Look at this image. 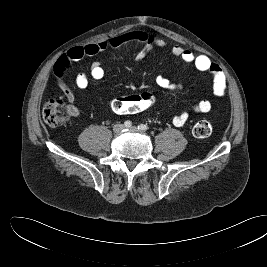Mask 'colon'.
Instances as JSON below:
<instances>
[{"mask_svg": "<svg viewBox=\"0 0 267 267\" xmlns=\"http://www.w3.org/2000/svg\"><path fill=\"white\" fill-rule=\"evenodd\" d=\"M155 103V97L150 92L137 95H128L114 98L111 106L114 112L119 114H137L151 108ZM72 112L61 99L53 96L43 108V118L50 126H57L68 121ZM212 124L208 120H200L193 126V135L197 138H205L212 133Z\"/></svg>", "mask_w": 267, "mask_h": 267, "instance_id": "1", "label": "colon"}]
</instances>
